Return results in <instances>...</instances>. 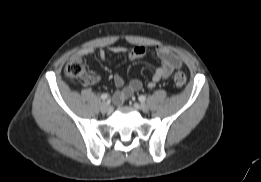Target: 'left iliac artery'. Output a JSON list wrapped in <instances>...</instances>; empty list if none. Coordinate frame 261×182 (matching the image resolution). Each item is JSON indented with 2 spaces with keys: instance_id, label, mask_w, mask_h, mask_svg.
Listing matches in <instances>:
<instances>
[{
  "instance_id": "left-iliac-artery-1",
  "label": "left iliac artery",
  "mask_w": 261,
  "mask_h": 182,
  "mask_svg": "<svg viewBox=\"0 0 261 182\" xmlns=\"http://www.w3.org/2000/svg\"><path fill=\"white\" fill-rule=\"evenodd\" d=\"M138 99H139L140 102H145L146 96L140 95V96L138 97Z\"/></svg>"
}]
</instances>
